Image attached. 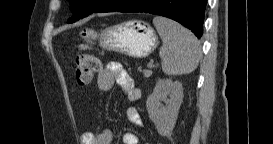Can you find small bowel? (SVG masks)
<instances>
[{"mask_svg": "<svg viewBox=\"0 0 273 144\" xmlns=\"http://www.w3.org/2000/svg\"><path fill=\"white\" fill-rule=\"evenodd\" d=\"M115 84H118L128 101L134 102L140 98V90L135 86L132 77L116 63H111L101 70L98 76L97 85L100 90L108 91ZM128 119L135 125H142L141 118L135 108H129L127 111ZM112 134L108 130L98 133L84 132L81 135L83 144H110ZM123 144H138V137L133 132H126L122 137Z\"/></svg>", "mask_w": 273, "mask_h": 144, "instance_id": "1", "label": "small bowel"}]
</instances>
